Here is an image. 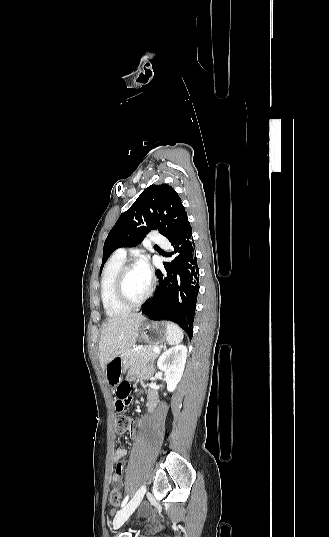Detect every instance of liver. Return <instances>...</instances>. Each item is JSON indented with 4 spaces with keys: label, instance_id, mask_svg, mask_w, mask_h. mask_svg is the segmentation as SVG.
Masks as SVG:
<instances>
[{
    "label": "liver",
    "instance_id": "6515ba94",
    "mask_svg": "<svg viewBox=\"0 0 329 537\" xmlns=\"http://www.w3.org/2000/svg\"><path fill=\"white\" fill-rule=\"evenodd\" d=\"M143 320L144 317L137 313L109 318L103 323L99 342V361L103 370L112 359L134 345Z\"/></svg>",
    "mask_w": 329,
    "mask_h": 537
}]
</instances>
